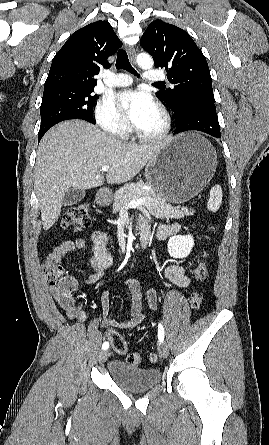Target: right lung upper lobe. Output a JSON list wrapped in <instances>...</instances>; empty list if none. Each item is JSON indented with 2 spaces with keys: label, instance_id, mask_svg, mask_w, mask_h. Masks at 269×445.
I'll use <instances>...</instances> for the list:
<instances>
[{
  "label": "right lung upper lobe",
  "instance_id": "right-lung-upper-lobe-1",
  "mask_svg": "<svg viewBox=\"0 0 269 445\" xmlns=\"http://www.w3.org/2000/svg\"><path fill=\"white\" fill-rule=\"evenodd\" d=\"M121 46L122 42L107 21L99 20L77 30L53 58L44 91L94 89L99 64L110 67L108 57Z\"/></svg>",
  "mask_w": 269,
  "mask_h": 445
}]
</instances>
